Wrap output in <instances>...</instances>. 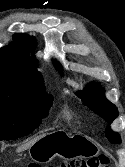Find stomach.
<instances>
[{
	"label": "stomach",
	"mask_w": 125,
	"mask_h": 167,
	"mask_svg": "<svg viewBox=\"0 0 125 167\" xmlns=\"http://www.w3.org/2000/svg\"><path fill=\"white\" fill-rule=\"evenodd\" d=\"M97 148L91 140L82 134L57 131L47 134L29 148V155L36 162H49L59 156L64 159L87 156L96 153Z\"/></svg>",
	"instance_id": "stomach-1"
}]
</instances>
